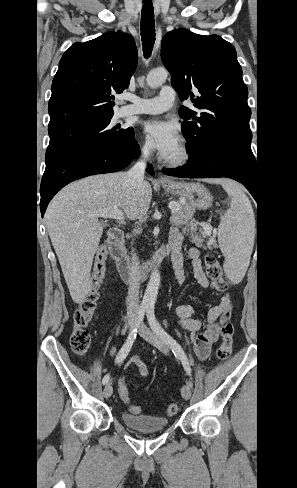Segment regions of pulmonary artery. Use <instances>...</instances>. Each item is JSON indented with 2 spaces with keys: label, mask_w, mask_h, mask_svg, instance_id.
<instances>
[{
  "label": "pulmonary artery",
  "mask_w": 297,
  "mask_h": 488,
  "mask_svg": "<svg viewBox=\"0 0 297 488\" xmlns=\"http://www.w3.org/2000/svg\"><path fill=\"white\" fill-rule=\"evenodd\" d=\"M126 98L132 104L121 109V115L123 116L159 114L172 106L175 100V91L172 87L166 86L161 89L160 95L154 98H140L133 95H127Z\"/></svg>",
  "instance_id": "1"
}]
</instances>
